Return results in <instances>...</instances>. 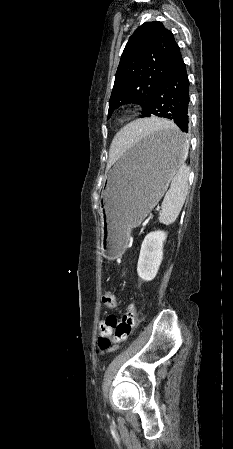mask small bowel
I'll return each mask as SVG.
<instances>
[{
  "label": "small bowel",
  "mask_w": 233,
  "mask_h": 449,
  "mask_svg": "<svg viewBox=\"0 0 233 449\" xmlns=\"http://www.w3.org/2000/svg\"><path fill=\"white\" fill-rule=\"evenodd\" d=\"M105 327V321H100V323H99V330H100V334H101V331L103 330V328Z\"/></svg>",
  "instance_id": "c3829d8e"
}]
</instances>
